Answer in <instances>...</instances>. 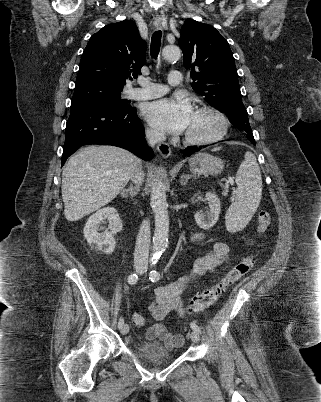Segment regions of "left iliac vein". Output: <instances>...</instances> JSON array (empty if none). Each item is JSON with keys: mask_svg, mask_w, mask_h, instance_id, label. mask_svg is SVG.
<instances>
[{"mask_svg": "<svg viewBox=\"0 0 321 402\" xmlns=\"http://www.w3.org/2000/svg\"><path fill=\"white\" fill-rule=\"evenodd\" d=\"M144 271H142L141 273H143ZM191 340L194 342V343H198L199 341H200V336H199V333L197 332V331H192L191 332Z\"/></svg>", "mask_w": 321, "mask_h": 402, "instance_id": "left-iliac-vein-1", "label": "left iliac vein"}]
</instances>
